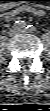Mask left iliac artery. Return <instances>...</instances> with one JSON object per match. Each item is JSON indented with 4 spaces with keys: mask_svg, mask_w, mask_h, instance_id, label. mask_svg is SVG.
Masks as SVG:
<instances>
[{
    "mask_svg": "<svg viewBox=\"0 0 50 111\" xmlns=\"http://www.w3.org/2000/svg\"><path fill=\"white\" fill-rule=\"evenodd\" d=\"M27 29L29 32H34L36 30L35 26H33V25H28Z\"/></svg>",
    "mask_w": 50,
    "mask_h": 111,
    "instance_id": "left-iliac-artery-1",
    "label": "left iliac artery"
}]
</instances>
